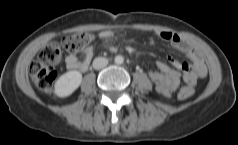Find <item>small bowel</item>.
I'll return each instance as SVG.
<instances>
[{
    "mask_svg": "<svg viewBox=\"0 0 238 145\" xmlns=\"http://www.w3.org/2000/svg\"><path fill=\"white\" fill-rule=\"evenodd\" d=\"M157 35L160 39L170 42L175 48L185 53L186 57L192 62L193 68L191 69L188 63L178 61L171 56L168 57V60L172 65L184 72L183 78L187 84L193 86L199 78L206 75L207 70L204 61L196 48H194L185 38L177 33L166 30L158 31ZM99 36L104 40H113L115 32L113 30H104L100 32ZM107 48L112 52L118 50V47L115 44H110ZM93 54V47L87 45L82 51V59L79 60L75 54H69L65 59L66 66L70 70L81 72L87 71ZM157 68L158 71L149 72V77L155 84L157 91L161 95L169 97L180 84V73L177 70L170 68L162 61L157 62Z\"/></svg>",
    "mask_w": 238,
    "mask_h": 145,
    "instance_id": "1",
    "label": "small bowel"
}]
</instances>
